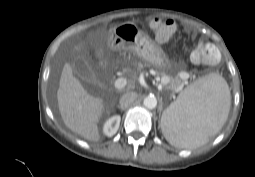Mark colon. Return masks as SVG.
Listing matches in <instances>:
<instances>
[{
    "mask_svg": "<svg viewBox=\"0 0 255 177\" xmlns=\"http://www.w3.org/2000/svg\"><path fill=\"white\" fill-rule=\"evenodd\" d=\"M150 27L155 33L156 38L161 42L169 40L175 30V25L172 20L163 19L161 17H152L150 19ZM218 59L219 51L210 43H198L191 53V60L196 64H214Z\"/></svg>",
    "mask_w": 255,
    "mask_h": 177,
    "instance_id": "1",
    "label": "colon"
}]
</instances>
